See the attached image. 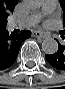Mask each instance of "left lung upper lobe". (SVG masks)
Listing matches in <instances>:
<instances>
[{
  "mask_svg": "<svg viewBox=\"0 0 65 89\" xmlns=\"http://www.w3.org/2000/svg\"><path fill=\"white\" fill-rule=\"evenodd\" d=\"M60 5L63 9V12H64V27H65V1L64 0H60ZM62 34H65V30L62 31Z\"/></svg>",
  "mask_w": 65,
  "mask_h": 89,
  "instance_id": "5c2ea615",
  "label": "left lung upper lobe"
}]
</instances>
